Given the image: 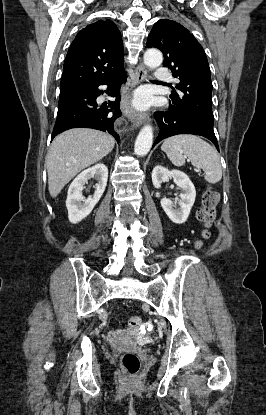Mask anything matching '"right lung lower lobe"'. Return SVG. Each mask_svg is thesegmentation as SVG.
Segmentation results:
<instances>
[{
    "label": "right lung lower lobe",
    "mask_w": 266,
    "mask_h": 415,
    "mask_svg": "<svg viewBox=\"0 0 266 415\" xmlns=\"http://www.w3.org/2000/svg\"><path fill=\"white\" fill-rule=\"evenodd\" d=\"M126 80L123 70L103 80L61 91L52 138L65 130L85 127L108 132L118 142L120 138L114 130V124L121 116L119 91ZM101 85H106L107 90L100 89ZM104 92L114 97L115 101L98 105L96 99Z\"/></svg>",
    "instance_id": "obj_1"
}]
</instances>
